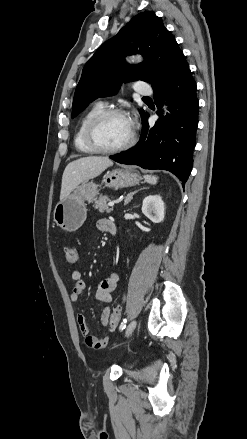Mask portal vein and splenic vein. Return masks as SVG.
<instances>
[{
	"instance_id": "1",
	"label": "portal vein and splenic vein",
	"mask_w": 247,
	"mask_h": 439,
	"mask_svg": "<svg viewBox=\"0 0 247 439\" xmlns=\"http://www.w3.org/2000/svg\"><path fill=\"white\" fill-rule=\"evenodd\" d=\"M114 204H115V203L111 201V202L108 203V206L113 207Z\"/></svg>"
}]
</instances>
